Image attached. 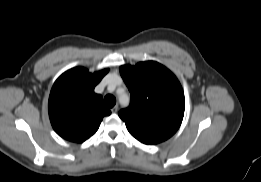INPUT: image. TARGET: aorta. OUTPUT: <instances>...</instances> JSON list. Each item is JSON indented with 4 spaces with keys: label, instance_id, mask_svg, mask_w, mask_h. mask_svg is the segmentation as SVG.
I'll use <instances>...</instances> for the list:
<instances>
[{
    "label": "aorta",
    "instance_id": "1",
    "mask_svg": "<svg viewBox=\"0 0 261 182\" xmlns=\"http://www.w3.org/2000/svg\"><path fill=\"white\" fill-rule=\"evenodd\" d=\"M119 102L122 106H127L129 104V97L126 94L119 96Z\"/></svg>",
    "mask_w": 261,
    "mask_h": 182
}]
</instances>
